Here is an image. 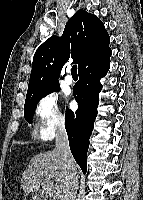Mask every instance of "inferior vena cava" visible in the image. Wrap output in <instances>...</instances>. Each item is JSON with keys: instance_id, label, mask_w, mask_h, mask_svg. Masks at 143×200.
<instances>
[{"instance_id": "inferior-vena-cava-1", "label": "inferior vena cava", "mask_w": 143, "mask_h": 200, "mask_svg": "<svg viewBox=\"0 0 143 200\" xmlns=\"http://www.w3.org/2000/svg\"><path fill=\"white\" fill-rule=\"evenodd\" d=\"M55 149L60 153L65 169V180L62 187L61 200H76L78 174L74 158L71 154L68 135L63 121L59 122L55 135Z\"/></svg>"}]
</instances>
